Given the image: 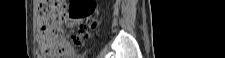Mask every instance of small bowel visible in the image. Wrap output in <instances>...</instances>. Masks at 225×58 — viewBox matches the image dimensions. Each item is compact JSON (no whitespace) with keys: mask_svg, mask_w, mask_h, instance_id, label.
Here are the masks:
<instances>
[{"mask_svg":"<svg viewBox=\"0 0 225 58\" xmlns=\"http://www.w3.org/2000/svg\"><path fill=\"white\" fill-rule=\"evenodd\" d=\"M68 24L71 26V27H74L78 24V20H71L69 19L68 20ZM63 45H64V48H65V58H71L74 54V49L73 47L67 42V41H64L63 42Z\"/></svg>","mask_w":225,"mask_h":58,"instance_id":"small-bowel-1","label":"small bowel"}]
</instances>
